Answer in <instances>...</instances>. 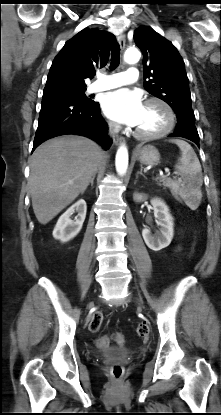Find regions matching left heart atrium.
<instances>
[{"instance_id": "1", "label": "left heart atrium", "mask_w": 221, "mask_h": 415, "mask_svg": "<svg viewBox=\"0 0 221 415\" xmlns=\"http://www.w3.org/2000/svg\"><path fill=\"white\" fill-rule=\"evenodd\" d=\"M105 115L113 121L137 126L144 109L141 94L129 89L107 93L102 101Z\"/></svg>"}]
</instances>
